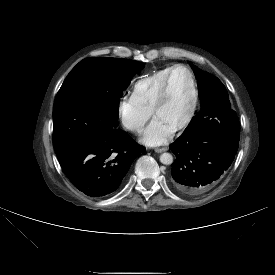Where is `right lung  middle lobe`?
<instances>
[{
  "mask_svg": "<svg viewBox=\"0 0 275 275\" xmlns=\"http://www.w3.org/2000/svg\"><path fill=\"white\" fill-rule=\"evenodd\" d=\"M145 64L127 59L87 58L66 77L53 109L55 151L115 129L119 98Z\"/></svg>",
  "mask_w": 275,
  "mask_h": 275,
  "instance_id": "1",
  "label": "right lung middle lobe"
}]
</instances>
